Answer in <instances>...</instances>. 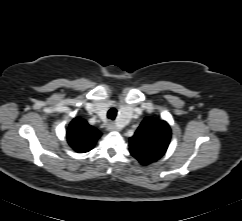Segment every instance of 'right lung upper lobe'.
Returning a JSON list of instances; mask_svg holds the SVG:
<instances>
[{"label":"right lung upper lobe","mask_w":242,"mask_h":221,"mask_svg":"<svg viewBox=\"0 0 242 221\" xmlns=\"http://www.w3.org/2000/svg\"><path fill=\"white\" fill-rule=\"evenodd\" d=\"M100 136L101 133L96 128L79 117L72 120L67 131L69 145L79 153L90 151Z\"/></svg>","instance_id":"obj_1"}]
</instances>
